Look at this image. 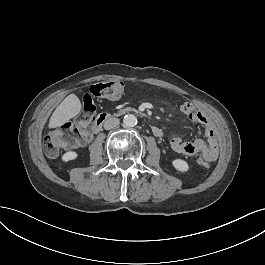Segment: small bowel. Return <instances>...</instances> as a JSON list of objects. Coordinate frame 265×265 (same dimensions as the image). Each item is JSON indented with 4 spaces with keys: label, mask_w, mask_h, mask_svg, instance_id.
Wrapping results in <instances>:
<instances>
[{
    "label": "small bowel",
    "mask_w": 265,
    "mask_h": 265,
    "mask_svg": "<svg viewBox=\"0 0 265 265\" xmlns=\"http://www.w3.org/2000/svg\"><path fill=\"white\" fill-rule=\"evenodd\" d=\"M179 109L191 121L196 124H201L205 127L208 143L201 139H196L194 141H184L179 137H173L169 142L171 150L186 156L201 154L208 163L214 162L218 156V147L211 122L190 102L181 103Z\"/></svg>",
    "instance_id": "small-bowel-1"
}]
</instances>
